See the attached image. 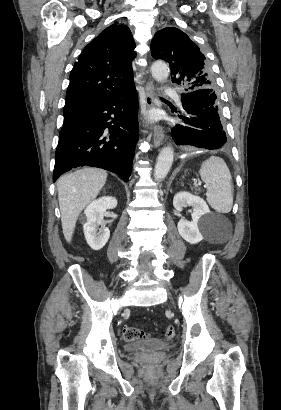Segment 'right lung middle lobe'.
I'll return each mask as SVG.
<instances>
[{"instance_id":"obj_1","label":"right lung middle lobe","mask_w":281,"mask_h":410,"mask_svg":"<svg viewBox=\"0 0 281 410\" xmlns=\"http://www.w3.org/2000/svg\"><path fill=\"white\" fill-rule=\"evenodd\" d=\"M81 109H66L63 111L64 120L69 119L76 115Z\"/></svg>"}]
</instances>
